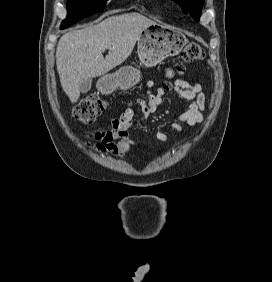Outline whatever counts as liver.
I'll use <instances>...</instances> for the list:
<instances>
[{
	"instance_id": "1",
	"label": "liver",
	"mask_w": 272,
	"mask_h": 282,
	"mask_svg": "<svg viewBox=\"0 0 272 282\" xmlns=\"http://www.w3.org/2000/svg\"><path fill=\"white\" fill-rule=\"evenodd\" d=\"M153 23L139 13H126L64 34L57 45L56 66L61 86L70 101L77 102L83 82L122 64L132 53L141 33ZM104 46H108L105 58Z\"/></svg>"
}]
</instances>
